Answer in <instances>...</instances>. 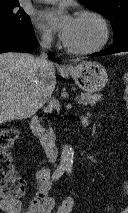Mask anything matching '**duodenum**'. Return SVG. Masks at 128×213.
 Here are the masks:
<instances>
[{
    "label": "duodenum",
    "instance_id": "1",
    "mask_svg": "<svg viewBox=\"0 0 128 213\" xmlns=\"http://www.w3.org/2000/svg\"><path fill=\"white\" fill-rule=\"evenodd\" d=\"M87 125L88 119L86 117H82L81 126L85 128ZM30 128L33 134L40 140L48 158L52 161L56 160L58 155V149L55 143V138L41 125L39 117L35 116L32 118L30 122Z\"/></svg>",
    "mask_w": 128,
    "mask_h": 213
}]
</instances>
